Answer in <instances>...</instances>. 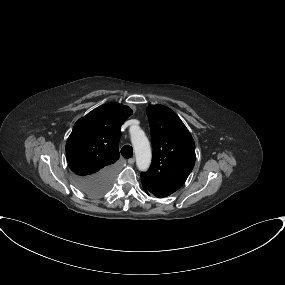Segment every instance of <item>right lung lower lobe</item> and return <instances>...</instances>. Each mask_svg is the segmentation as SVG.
Returning <instances> with one entry per match:
<instances>
[{
	"label": "right lung lower lobe",
	"mask_w": 285,
	"mask_h": 285,
	"mask_svg": "<svg viewBox=\"0 0 285 285\" xmlns=\"http://www.w3.org/2000/svg\"><path fill=\"white\" fill-rule=\"evenodd\" d=\"M116 165H110L90 176H76L78 188L90 196L105 194L112 186Z\"/></svg>",
	"instance_id": "obj_1"
}]
</instances>
